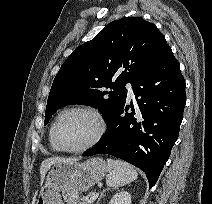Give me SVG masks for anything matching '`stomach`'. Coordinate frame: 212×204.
Segmentation results:
<instances>
[{"label": "stomach", "instance_id": "0dacf381", "mask_svg": "<svg viewBox=\"0 0 212 204\" xmlns=\"http://www.w3.org/2000/svg\"><path fill=\"white\" fill-rule=\"evenodd\" d=\"M107 171L108 166L101 158L56 163L49 170L35 204H63L60 192H85L101 181Z\"/></svg>", "mask_w": 212, "mask_h": 204}]
</instances>
